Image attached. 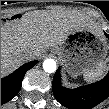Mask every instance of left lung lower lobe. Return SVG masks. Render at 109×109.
Here are the masks:
<instances>
[{
  "label": "left lung lower lobe",
  "instance_id": "0a47b994",
  "mask_svg": "<svg viewBox=\"0 0 109 109\" xmlns=\"http://www.w3.org/2000/svg\"><path fill=\"white\" fill-rule=\"evenodd\" d=\"M105 35L109 38V34ZM52 90L56 100L69 109H91L109 96V72L96 83L77 89H67L61 86L60 68H58L53 77Z\"/></svg>",
  "mask_w": 109,
  "mask_h": 109
}]
</instances>
